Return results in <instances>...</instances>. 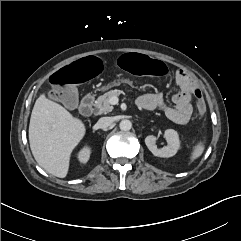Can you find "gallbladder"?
<instances>
[{"label":"gallbladder","instance_id":"gallbladder-1","mask_svg":"<svg viewBox=\"0 0 241 241\" xmlns=\"http://www.w3.org/2000/svg\"><path fill=\"white\" fill-rule=\"evenodd\" d=\"M68 99L71 101L70 105L67 104V107H70L71 109H74L77 107L78 105V92L77 89L74 87L70 88V93L68 95Z\"/></svg>","mask_w":241,"mask_h":241}]
</instances>
